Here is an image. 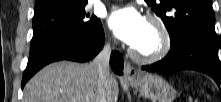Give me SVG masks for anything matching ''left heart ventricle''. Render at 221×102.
Instances as JSON below:
<instances>
[{
  "instance_id": "left-heart-ventricle-1",
  "label": "left heart ventricle",
  "mask_w": 221,
  "mask_h": 102,
  "mask_svg": "<svg viewBox=\"0 0 221 102\" xmlns=\"http://www.w3.org/2000/svg\"><path fill=\"white\" fill-rule=\"evenodd\" d=\"M161 44L160 33L157 28L146 21L144 32L139 41L132 47L142 54H152L156 52Z\"/></svg>"
}]
</instances>
